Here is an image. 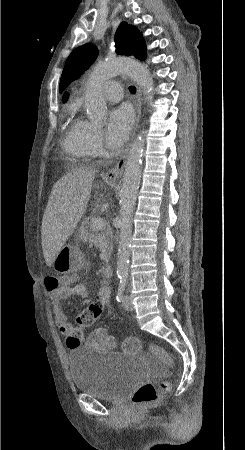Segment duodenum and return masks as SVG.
Instances as JSON below:
<instances>
[{"label": "duodenum", "instance_id": "duodenum-1", "mask_svg": "<svg viewBox=\"0 0 245 450\" xmlns=\"http://www.w3.org/2000/svg\"><path fill=\"white\" fill-rule=\"evenodd\" d=\"M113 264L111 262H108L106 264H104L103 268H102V273H104L105 275L111 276L113 274Z\"/></svg>", "mask_w": 245, "mask_h": 450}]
</instances>
